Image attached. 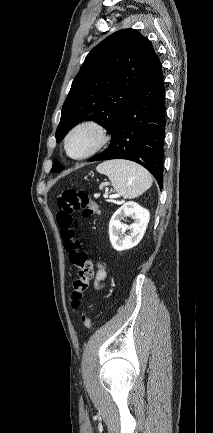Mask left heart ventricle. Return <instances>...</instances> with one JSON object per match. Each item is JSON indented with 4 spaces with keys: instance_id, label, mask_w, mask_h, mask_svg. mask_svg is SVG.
I'll use <instances>...</instances> for the list:
<instances>
[{
    "instance_id": "obj_1",
    "label": "left heart ventricle",
    "mask_w": 213,
    "mask_h": 433,
    "mask_svg": "<svg viewBox=\"0 0 213 433\" xmlns=\"http://www.w3.org/2000/svg\"><path fill=\"white\" fill-rule=\"evenodd\" d=\"M98 136L91 129H82L72 135L69 140V152L73 156H81L90 151L97 143Z\"/></svg>"
}]
</instances>
